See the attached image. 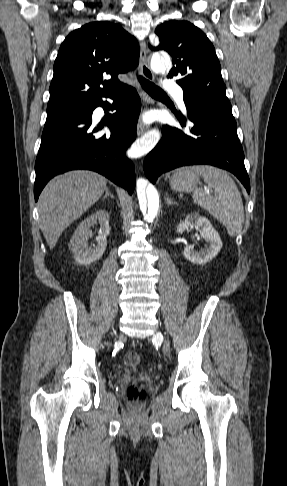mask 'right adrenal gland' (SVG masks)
<instances>
[{
  "instance_id": "right-adrenal-gland-1",
  "label": "right adrenal gland",
  "mask_w": 287,
  "mask_h": 486,
  "mask_svg": "<svg viewBox=\"0 0 287 486\" xmlns=\"http://www.w3.org/2000/svg\"><path fill=\"white\" fill-rule=\"evenodd\" d=\"M107 196L114 198V195L109 191L108 187L105 188V195H104L103 199H105Z\"/></svg>"
}]
</instances>
